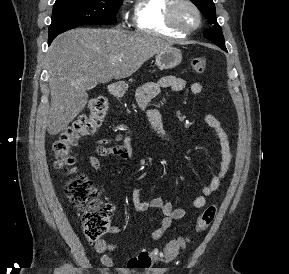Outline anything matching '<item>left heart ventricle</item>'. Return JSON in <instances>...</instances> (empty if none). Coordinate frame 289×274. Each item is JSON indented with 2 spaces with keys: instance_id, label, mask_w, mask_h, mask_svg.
<instances>
[{
  "instance_id": "obj_1",
  "label": "left heart ventricle",
  "mask_w": 289,
  "mask_h": 274,
  "mask_svg": "<svg viewBox=\"0 0 289 274\" xmlns=\"http://www.w3.org/2000/svg\"><path fill=\"white\" fill-rule=\"evenodd\" d=\"M176 18L184 27H191L197 22L196 14L188 5L185 4H182L177 8Z\"/></svg>"
}]
</instances>
